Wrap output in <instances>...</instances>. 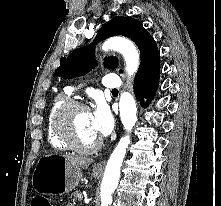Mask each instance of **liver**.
<instances>
[{
	"label": "liver",
	"mask_w": 221,
	"mask_h": 206,
	"mask_svg": "<svg viewBox=\"0 0 221 206\" xmlns=\"http://www.w3.org/2000/svg\"><path fill=\"white\" fill-rule=\"evenodd\" d=\"M66 158L68 159L71 165H75L83 169H87L89 165L93 162L92 159H88L85 157L66 156Z\"/></svg>",
	"instance_id": "1"
}]
</instances>
